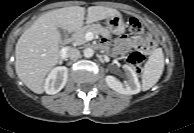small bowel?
<instances>
[{"label":"small bowel","mask_w":194,"mask_h":133,"mask_svg":"<svg viewBox=\"0 0 194 133\" xmlns=\"http://www.w3.org/2000/svg\"><path fill=\"white\" fill-rule=\"evenodd\" d=\"M107 45V41L104 42ZM112 47L115 51L121 53H127L132 49H140L143 54H150L157 47V42L151 40L148 34L140 36H121L112 43Z\"/></svg>","instance_id":"obj_1"}]
</instances>
